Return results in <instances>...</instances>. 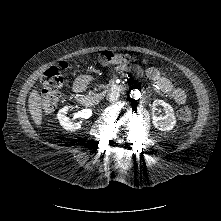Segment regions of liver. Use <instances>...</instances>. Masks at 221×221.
Segmentation results:
<instances>
[{"label": "liver", "mask_w": 221, "mask_h": 221, "mask_svg": "<svg viewBox=\"0 0 221 221\" xmlns=\"http://www.w3.org/2000/svg\"><path fill=\"white\" fill-rule=\"evenodd\" d=\"M43 88H46V87L43 86ZM56 106H57V97L50 90H48V92L43 95H40L39 91H37L36 89H33L29 93L28 110L30 112L33 122L36 125L42 124V119H43L42 110H44L45 113L50 114L55 111L54 107Z\"/></svg>", "instance_id": "obj_1"}]
</instances>
